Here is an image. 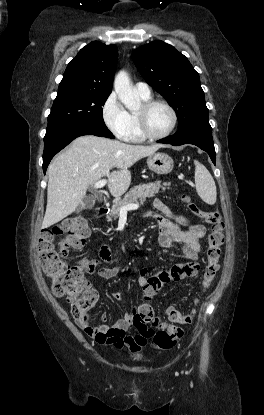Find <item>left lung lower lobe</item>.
Here are the masks:
<instances>
[{
    "label": "left lung lower lobe",
    "mask_w": 264,
    "mask_h": 415,
    "mask_svg": "<svg viewBox=\"0 0 264 415\" xmlns=\"http://www.w3.org/2000/svg\"><path fill=\"white\" fill-rule=\"evenodd\" d=\"M159 143L179 146L183 144H193L206 151L212 162L215 164V149L212 138V128L209 124V118H199L190 121L178 131Z\"/></svg>",
    "instance_id": "left-lung-lower-lobe-1"
}]
</instances>
